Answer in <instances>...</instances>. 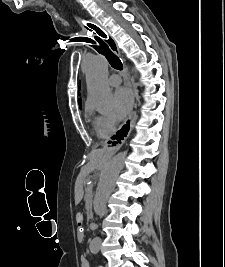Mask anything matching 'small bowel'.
Here are the masks:
<instances>
[{
    "label": "small bowel",
    "mask_w": 225,
    "mask_h": 267,
    "mask_svg": "<svg viewBox=\"0 0 225 267\" xmlns=\"http://www.w3.org/2000/svg\"><path fill=\"white\" fill-rule=\"evenodd\" d=\"M80 267H90L89 261L87 260V258H85V257L81 258Z\"/></svg>",
    "instance_id": "c3829d8e"
}]
</instances>
